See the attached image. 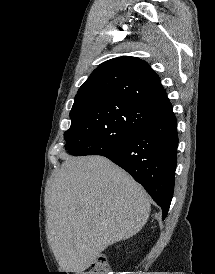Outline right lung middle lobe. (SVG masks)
Returning a JSON list of instances; mask_svg holds the SVG:
<instances>
[{"label":"right lung middle lobe","mask_w":215,"mask_h":274,"mask_svg":"<svg viewBox=\"0 0 215 274\" xmlns=\"http://www.w3.org/2000/svg\"><path fill=\"white\" fill-rule=\"evenodd\" d=\"M155 114L118 100L73 105L71 127L64 133L65 149L74 156L97 155L115 148Z\"/></svg>","instance_id":"1"}]
</instances>
